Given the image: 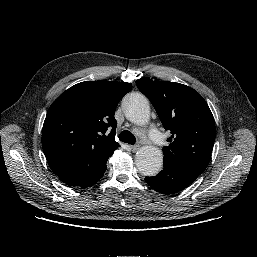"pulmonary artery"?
I'll return each instance as SVG.
<instances>
[{"mask_svg":"<svg viewBox=\"0 0 257 257\" xmlns=\"http://www.w3.org/2000/svg\"><path fill=\"white\" fill-rule=\"evenodd\" d=\"M148 134L154 144L162 145L164 143V137L156 128L150 129Z\"/></svg>","mask_w":257,"mask_h":257,"instance_id":"1","label":"pulmonary artery"}]
</instances>
